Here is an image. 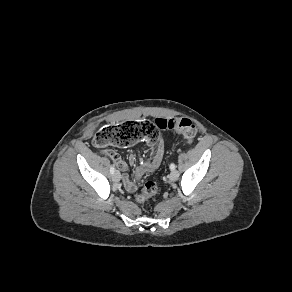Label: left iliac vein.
<instances>
[{"label": "left iliac vein", "mask_w": 292, "mask_h": 292, "mask_svg": "<svg viewBox=\"0 0 292 292\" xmlns=\"http://www.w3.org/2000/svg\"><path fill=\"white\" fill-rule=\"evenodd\" d=\"M179 177V172L177 170H172L170 175H169V180L170 181H176Z\"/></svg>", "instance_id": "1"}]
</instances>
